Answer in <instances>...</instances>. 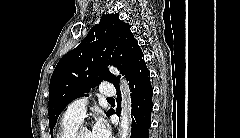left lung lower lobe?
<instances>
[{"label":"left lung lower lobe","mask_w":240,"mask_h":138,"mask_svg":"<svg viewBox=\"0 0 240 138\" xmlns=\"http://www.w3.org/2000/svg\"><path fill=\"white\" fill-rule=\"evenodd\" d=\"M144 55L141 52L137 54L125 78L129 81L131 99H132V131L130 138H148L149 128L151 126V112L153 108L152 95L153 88L150 83L149 71L144 61ZM117 90L118 108L116 114L120 115V88ZM114 114L110 110L107 116Z\"/></svg>","instance_id":"left-lung-lower-lobe-1"}]
</instances>
